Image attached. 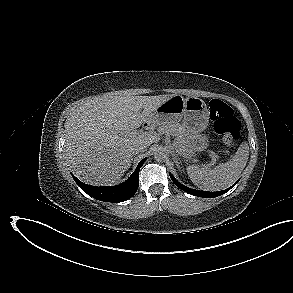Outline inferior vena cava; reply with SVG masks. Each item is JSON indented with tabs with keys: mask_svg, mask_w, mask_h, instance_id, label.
Instances as JSON below:
<instances>
[{
	"mask_svg": "<svg viewBox=\"0 0 293 293\" xmlns=\"http://www.w3.org/2000/svg\"><path fill=\"white\" fill-rule=\"evenodd\" d=\"M146 150V146L145 145H136L133 149V153L138 154V153H142Z\"/></svg>",
	"mask_w": 293,
	"mask_h": 293,
	"instance_id": "602c4592",
	"label": "inferior vena cava"
}]
</instances>
